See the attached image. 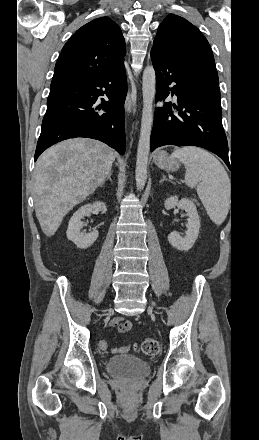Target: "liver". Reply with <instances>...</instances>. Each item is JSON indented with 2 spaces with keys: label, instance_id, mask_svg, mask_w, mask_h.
Wrapping results in <instances>:
<instances>
[{
  "label": "liver",
  "instance_id": "obj_1",
  "mask_svg": "<svg viewBox=\"0 0 259 440\" xmlns=\"http://www.w3.org/2000/svg\"><path fill=\"white\" fill-rule=\"evenodd\" d=\"M115 151L89 138L62 141L47 149L35 166L34 204L43 233L51 237L73 207L103 184Z\"/></svg>",
  "mask_w": 259,
  "mask_h": 440
}]
</instances>
